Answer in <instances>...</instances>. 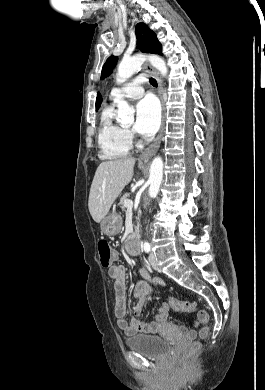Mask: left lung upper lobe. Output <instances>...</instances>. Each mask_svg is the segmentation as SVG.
<instances>
[{"mask_svg":"<svg viewBox=\"0 0 265 390\" xmlns=\"http://www.w3.org/2000/svg\"><path fill=\"white\" fill-rule=\"evenodd\" d=\"M135 33L138 48L142 52L162 54L161 44L158 42L156 34L150 30L146 24L138 23L136 25ZM117 59V57L111 56L106 60L102 68V79L112 73V69L115 67Z\"/></svg>","mask_w":265,"mask_h":390,"instance_id":"left-lung-upper-lobe-1","label":"left lung upper lobe"}]
</instances>
